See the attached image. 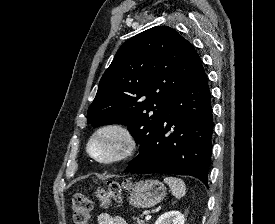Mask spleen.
Returning a JSON list of instances; mask_svg holds the SVG:
<instances>
[{
	"mask_svg": "<svg viewBox=\"0 0 275 224\" xmlns=\"http://www.w3.org/2000/svg\"><path fill=\"white\" fill-rule=\"evenodd\" d=\"M164 182L170 187L172 194L176 198H181L186 194V186L182 179L176 177H165Z\"/></svg>",
	"mask_w": 275,
	"mask_h": 224,
	"instance_id": "3e777b00",
	"label": "spleen"
}]
</instances>
